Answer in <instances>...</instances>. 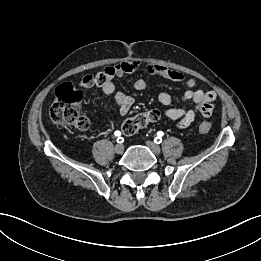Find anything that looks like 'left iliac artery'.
<instances>
[{
	"mask_svg": "<svg viewBox=\"0 0 261 261\" xmlns=\"http://www.w3.org/2000/svg\"><path fill=\"white\" fill-rule=\"evenodd\" d=\"M163 135H164V133L162 131H159L157 133V137H155V139H154V142L157 143V144L161 143Z\"/></svg>",
	"mask_w": 261,
	"mask_h": 261,
	"instance_id": "44dca946",
	"label": "left iliac artery"
}]
</instances>
